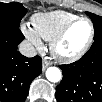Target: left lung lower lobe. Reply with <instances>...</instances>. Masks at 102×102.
Returning <instances> with one entry per match:
<instances>
[{"label":"left lung lower lobe","instance_id":"0a47b994","mask_svg":"<svg viewBox=\"0 0 102 102\" xmlns=\"http://www.w3.org/2000/svg\"><path fill=\"white\" fill-rule=\"evenodd\" d=\"M60 68L63 79L56 87L58 102H102V39H96L80 60Z\"/></svg>","mask_w":102,"mask_h":102}]
</instances>
